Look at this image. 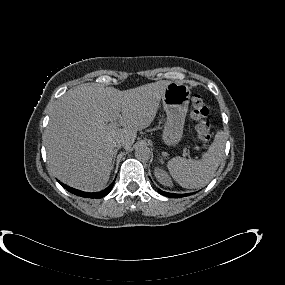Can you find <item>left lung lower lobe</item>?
Instances as JSON below:
<instances>
[{"instance_id":"0a47b994","label":"left lung lower lobe","mask_w":285,"mask_h":285,"mask_svg":"<svg viewBox=\"0 0 285 285\" xmlns=\"http://www.w3.org/2000/svg\"><path fill=\"white\" fill-rule=\"evenodd\" d=\"M160 194L167 196V197H174V198H181V197H185L188 196L190 194H174V193H168V192H164L162 190L158 191Z\"/></svg>"}]
</instances>
